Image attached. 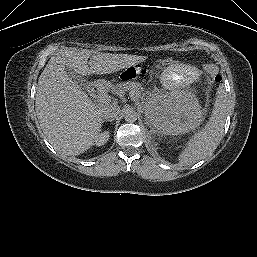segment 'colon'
I'll return each mask as SVG.
<instances>
[{
	"label": "colon",
	"instance_id": "1",
	"mask_svg": "<svg viewBox=\"0 0 257 257\" xmlns=\"http://www.w3.org/2000/svg\"><path fill=\"white\" fill-rule=\"evenodd\" d=\"M204 70L205 72L209 75V77L211 78V80L215 83H218L221 81V76L218 72V69L215 65L207 63L204 66ZM146 68L142 65H134L132 67H129L127 69H125L120 77L121 79L127 81V80H134L137 79L143 75L146 74Z\"/></svg>",
	"mask_w": 257,
	"mask_h": 257
}]
</instances>
